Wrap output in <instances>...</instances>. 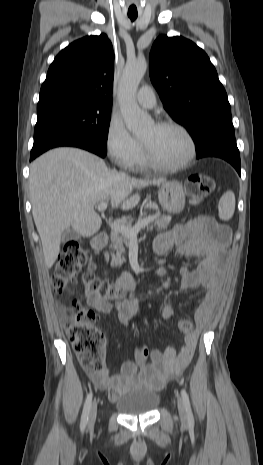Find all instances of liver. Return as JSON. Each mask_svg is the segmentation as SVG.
<instances>
[{"mask_svg":"<svg viewBox=\"0 0 263 465\" xmlns=\"http://www.w3.org/2000/svg\"><path fill=\"white\" fill-rule=\"evenodd\" d=\"M166 179H136L121 176L87 151L57 148L37 158L30 167L29 185L34 222L41 238L45 264L51 268L60 252L64 230L72 227L89 237L102 224L95 206L111 202L112 208L129 210L140 201L133 193Z\"/></svg>","mask_w":263,"mask_h":465,"instance_id":"1","label":"liver"}]
</instances>
